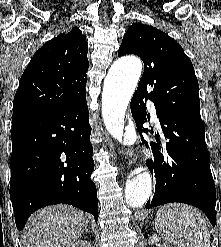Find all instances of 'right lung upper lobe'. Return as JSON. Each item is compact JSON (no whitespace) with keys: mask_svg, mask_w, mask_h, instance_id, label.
Segmentation results:
<instances>
[{"mask_svg":"<svg viewBox=\"0 0 221 247\" xmlns=\"http://www.w3.org/2000/svg\"><path fill=\"white\" fill-rule=\"evenodd\" d=\"M87 52L86 38L76 27L45 43L21 77L12 120L62 109L85 98Z\"/></svg>","mask_w":221,"mask_h":247,"instance_id":"right-lung-upper-lobe-1","label":"right lung upper lobe"}]
</instances>
